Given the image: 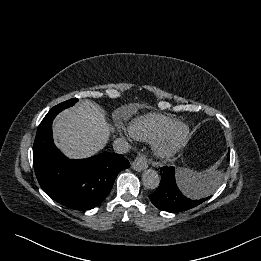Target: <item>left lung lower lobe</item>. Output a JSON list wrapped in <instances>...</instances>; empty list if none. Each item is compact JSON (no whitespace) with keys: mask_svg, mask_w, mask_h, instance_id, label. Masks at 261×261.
<instances>
[{"mask_svg":"<svg viewBox=\"0 0 261 261\" xmlns=\"http://www.w3.org/2000/svg\"><path fill=\"white\" fill-rule=\"evenodd\" d=\"M161 175L159 187L149 195L151 202L160 210L171 213L182 212L200 205L209 198L206 196L200 199L192 198L191 195L203 190L189 181L186 184L181 183L174 167H162Z\"/></svg>","mask_w":261,"mask_h":261,"instance_id":"0a47b994","label":"left lung lower lobe"}]
</instances>
